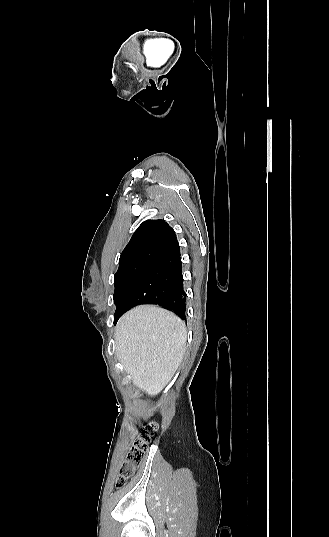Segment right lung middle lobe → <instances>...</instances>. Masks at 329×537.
Returning <instances> with one entry per match:
<instances>
[{"instance_id":"1","label":"right lung middle lobe","mask_w":329,"mask_h":537,"mask_svg":"<svg viewBox=\"0 0 329 537\" xmlns=\"http://www.w3.org/2000/svg\"><path fill=\"white\" fill-rule=\"evenodd\" d=\"M149 262H133L120 267L114 276L115 291L113 295L116 305V312L120 309V305L128 288L131 286L136 277L148 266ZM114 315V316H115Z\"/></svg>"}]
</instances>
